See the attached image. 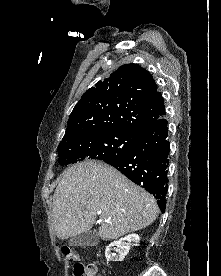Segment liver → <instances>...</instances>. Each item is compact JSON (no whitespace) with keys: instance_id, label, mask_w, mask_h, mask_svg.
Masks as SVG:
<instances>
[{"instance_id":"obj_1","label":"liver","mask_w":221,"mask_h":276,"mask_svg":"<svg viewBox=\"0 0 221 276\" xmlns=\"http://www.w3.org/2000/svg\"><path fill=\"white\" fill-rule=\"evenodd\" d=\"M100 213V214H99ZM156 200L115 168L87 160L68 168L53 196L52 214L59 239L90 231L97 215L103 240L117 239L151 225Z\"/></svg>"}]
</instances>
